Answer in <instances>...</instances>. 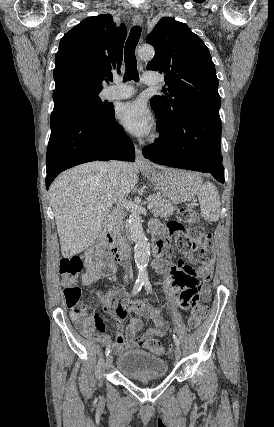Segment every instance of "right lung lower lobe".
Masks as SVG:
<instances>
[{
    "mask_svg": "<svg viewBox=\"0 0 274 427\" xmlns=\"http://www.w3.org/2000/svg\"><path fill=\"white\" fill-rule=\"evenodd\" d=\"M135 161V149L114 118V109L100 116L80 112L51 126L46 155V189L62 171L95 160Z\"/></svg>",
    "mask_w": 274,
    "mask_h": 427,
    "instance_id": "98d812e1",
    "label": "right lung lower lobe"
}]
</instances>
